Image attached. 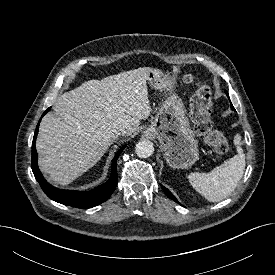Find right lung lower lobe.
<instances>
[{
	"mask_svg": "<svg viewBox=\"0 0 275 275\" xmlns=\"http://www.w3.org/2000/svg\"><path fill=\"white\" fill-rule=\"evenodd\" d=\"M50 108H48L42 115L46 114ZM38 127L39 124L36 127L35 133H34V138L32 142V159H31V168L34 173V176L36 180L38 181L39 185L45 192V194L51 198L52 200L76 207V208H81V209H88L95 207L104 201H106L113 191L115 190L117 186V181H118V175H117V170H116V162L118 157L120 156L121 152L125 148L123 146L115 155L112 166H111V176L107 182L104 184L96 187L95 189L88 191V192H81V191H72V190H61L58 188H55L51 186L42 176L38 165H37V152L35 148V141L36 137L38 134Z\"/></svg>",
	"mask_w": 275,
	"mask_h": 275,
	"instance_id": "1",
	"label": "right lung lower lobe"
}]
</instances>
